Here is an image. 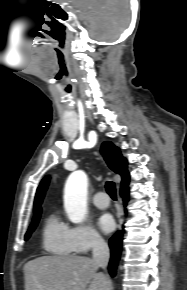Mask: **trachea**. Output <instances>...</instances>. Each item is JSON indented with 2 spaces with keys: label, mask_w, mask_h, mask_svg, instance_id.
<instances>
[{
  "label": "trachea",
  "mask_w": 187,
  "mask_h": 290,
  "mask_svg": "<svg viewBox=\"0 0 187 290\" xmlns=\"http://www.w3.org/2000/svg\"><path fill=\"white\" fill-rule=\"evenodd\" d=\"M105 188H106L107 193L110 195V197L113 200H116V186H115V183L112 182V181H107L106 184H105Z\"/></svg>",
  "instance_id": "1"
}]
</instances>
